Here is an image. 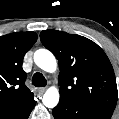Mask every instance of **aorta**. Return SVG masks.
I'll return each instance as SVG.
<instances>
[{
    "label": "aorta",
    "mask_w": 119,
    "mask_h": 119,
    "mask_svg": "<svg viewBox=\"0 0 119 119\" xmlns=\"http://www.w3.org/2000/svg\"><path fill=\"white\" fill-rule=\"evenodd\" d=\"M34 62L42 70L52 73L57 68L55 56L47 49H39L34 53ZM59 91L56 87L47 89L43 96V104L48 108H54L59 102Z\"/></svg>",
    "instance_id": "1"
}]
</instances>
